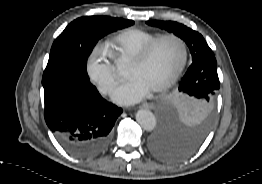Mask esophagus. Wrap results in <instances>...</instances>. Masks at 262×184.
<instances>
[{"instance_id": "1", "label": "esophagus", "mask_w": 262, "mask_h": 184, "mask_svg": "<svg viewBox=\"0 0 262 184\" xmlns=\"http://www.w3.org/2000/svg\"><path fill=\"white\" fill-rule=\"evenodd\" d=\"M155 105L151 102L143 103L139 106V108H145V109H154Z\"/></svg>"}]
</instances>
